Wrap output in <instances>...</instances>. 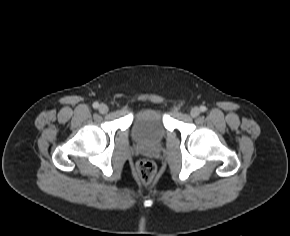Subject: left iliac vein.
I'll use <instances>...</instances> for the list:
<instances>
[{
	"label": "left iliac vein",
	"mask_w": 290,
	"mask_h": 236,
	"mask_svg": "<svg viewBox=\"0 0 290 236\" xmlns=\"http://www.w3.org/2000/svg\"><path fill=\"white\" fill-rule=\"evenodd\" d=\"M192 117H197L200 114V109L198 107H193L190 111Z\"/></svg>",
	"instance_id": "4c4485c4"
}]
</instances>
